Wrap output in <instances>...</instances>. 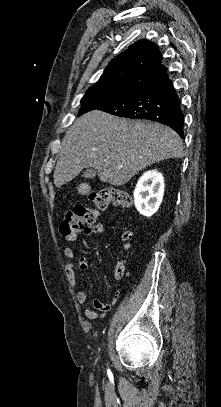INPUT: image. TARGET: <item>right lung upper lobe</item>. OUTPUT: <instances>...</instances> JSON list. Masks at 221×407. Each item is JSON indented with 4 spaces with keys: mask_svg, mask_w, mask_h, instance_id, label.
Listing matches in <instances>:
<instances>
[{
    "mask_svg": "<svg viewBox=\"0 0 221 407\" xmlns=\"http://www.w3.org/2000/svg\"><path fill=\"white\" fill-rule=\"evenodd\" d=\"M161 60V53L154 43L139 40L113 58L92 87L122 89L135 84L141 86L166 70Z\"/></svg>",
    "mask_w": 221,
    "mask_h": 407,
    "instance_id": "obj_1",
    "label": "right lung upper lobe"
}]
</instances>
